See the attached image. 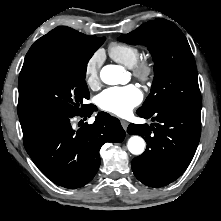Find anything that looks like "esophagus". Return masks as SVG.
<instances>
[{
    "label": "esophagus",
    "instance_id": "obj_1",
    "mask_svg": "<svg viewBox=\"0 0 221 221\" xmlns=\"http://www.w3.org/2000/svg\"><path fill=\"white\" fill-rule=\"evenodd\" d=\"M121 125H122V127H123L125 130H127V127H128V125H129V123H128L127 121H125V120H121Z\"/></svg>",
    "mask_w": 221,
    "mask_h": 221
}]
</instances>
